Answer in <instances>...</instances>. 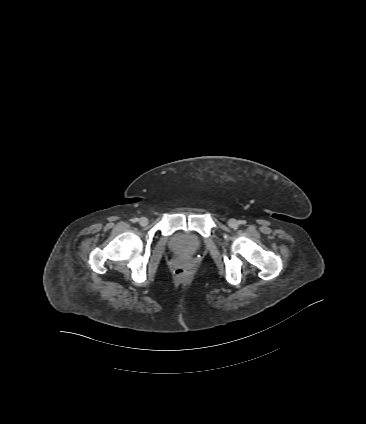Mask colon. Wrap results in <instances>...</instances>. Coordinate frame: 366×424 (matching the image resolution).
I'll return each instance as SVG.
<instances>
[{"mask_svg":"<svg viewBox=\"0 0 366 424\" xmlns=\"http://www.w3.org/2000/svg\"><path fill=\"white\" fill-rule=\"evenodd\" d=\"M175 274L180 278H184L189 274V270L185 267H178L175 270Z\"/></svg>","mask_w":366,"mask_h":424,"instance_id":"5ec220e1","label":"colon"}]
</instances>
